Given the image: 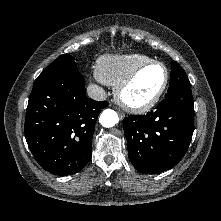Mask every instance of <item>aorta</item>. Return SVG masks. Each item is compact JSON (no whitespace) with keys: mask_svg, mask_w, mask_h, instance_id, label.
<instances>
[{"mask_svg":"<svg viewBox=\"0 0 221 221\" xmlns=\"http://www.w3.org/2000/svg\"><path fill=\"white\" fill-rule=\"evenodd\" d=\"M119 121V117L116 111L112 109H105L99 118V122L103 127L110 128L115 126Z\"/></svg>","mask_w":221,"mask_h":221,"instance_id":"1","label":"aorta"}]
</instances>
